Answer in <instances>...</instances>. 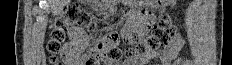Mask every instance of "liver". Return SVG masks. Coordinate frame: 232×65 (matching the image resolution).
Instances as JSON below:
<instances>
[{"instance_id": "liver-1", "label": "liver", "mask_w": 232, "mask_h": 65, "mask_svg": "<svg viewBox=\"0 0 232 65\" xmlns=\"http://www.w3.org/2000/svg\"><path fill=\"white\" fill-rule=\"evenodd\" d=\"M70 0H48L53 15H59L63 12V8Z\"/></svg>"}]
</instances>
